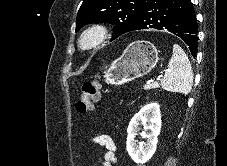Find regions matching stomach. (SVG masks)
<instances>
[{"label": "stomach", "mask_w": 227, "mask_h": 166, "mask_svg": "<svg viewBox=\"0 0 227 166\" xmlns=\"http://www.w3.org/2000/svg\"><path fill=\"white\" fill-rule=\"evenodd\" d=\"M158 61V50L148 41L130 43L123 54L114 60L104 73L111 85H123L149 73Z\"/></svg>", "instance_id": "obj_1"}]
</instances>
